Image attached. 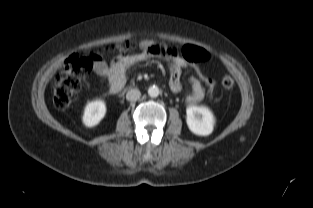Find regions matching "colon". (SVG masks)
Masks as SVG:
<instances>
[{
	"mask_svg": "<svg viewBox=\"0 0 313 208\" xmlns=\"http://www.w3.org/2000/svg\"><path fill=\"white\" fill-rule=\"evenodd\" d=\"M140 47V44H134L124 41L118 44L106 45L99 51H84L75 53L69 57L61 73L56 78L53 85V101L58 109L67 108L77 94L82 81L89 75L95 61L100 60L102 56H109L114 53H129L131 50ZM184 58L192 65H195L197 72L203 75L196 66L198 63H207L211 61L210 54L202 48L195 46H186L182 52ZM209 94L212 96L215 91V83L210 78H205ZM221 84L224 88H232L234 82L228 74H223Z\"/></svg>",
	"mask_w": 313,
	"mask_h": 208,
	"instance_id": "colon-1",
	"label": "colon"
}]
</instances>
